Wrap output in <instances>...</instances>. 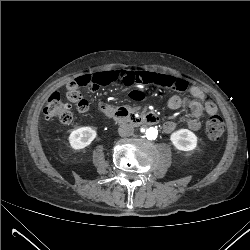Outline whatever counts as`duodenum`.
Wrapping results in <instances>:
<instances>
[{
  "label": "duodenum",
  "mask_w": 250,
  "mask_h": 250,
  "mask_svg": "<svg viewBox=\"0 0 250 250\" xmlns=\"http://www.w3.org/2000/svg\"><path fill=\"white\" fill-rule=\"evenodd\" d=\"M103 111L105 120L107 123H112L115 118L119 117L120 115H124L125 111L123 109L115 108L111 105L103 103ZM146 122L149 126H156L160 122V118L156 115L150 114L147 116Z\"/></svg>",
  "instance_id": "410a0bca"
}]
</instances>
